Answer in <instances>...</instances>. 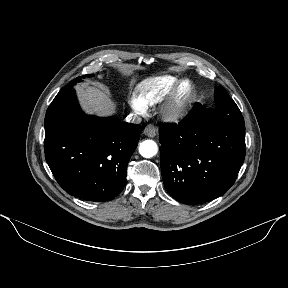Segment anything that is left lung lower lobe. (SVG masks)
Wrapping results in <instances>:
<instances>
[{"mask_svg": "<svg viewBox=\"0 0 288 288\" xmlns=\"http://www.w3.org/2000/svg\"><path fill=\"white\" fill-rule=\"evenodd\" d=\"M206 110L196 103L179 124L159 125L163 182L185 204L222 196L245 158V130L210 119Z\"/></svg>", "mask_w": 288, "mask_h": 288, "instance_id": "obj_1", "label": "left lung lower lobe"}]
</instances>
